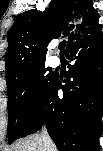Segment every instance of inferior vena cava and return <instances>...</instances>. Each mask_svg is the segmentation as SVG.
<instances>
[{
	"label": "inferior vena cava",
	"instance_id": "1",
	"mask_svg": "<svg viewBox=\"0 0 103 151\" xmlns=\"http://www.w3.org/2000/svg\"><path fill=\"white\" fill-rule=\"evenodd\" d=\"M41 138L43 141V151H49V146L53 144L51 138L49 137L46 129L44 128L41 134Z\"/></svg>",
	"mask_w": 103,
	"mask_h": 151
}]
</instances>
